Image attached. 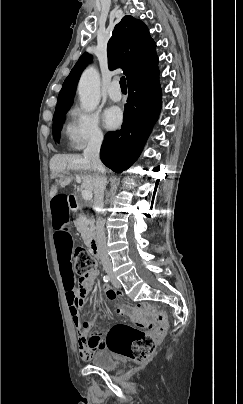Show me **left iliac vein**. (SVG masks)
<instances>
[{
    "instance_id": "1",
    "label": "left iliac vein",
    "mask_w": 243,
    "mask_h": 404,
    "mask_svg": "<svg viewBox=\"0 0 243 404\" xmlns=\"http://www.w3.org/2000/svg\"><path fill=\"white\" fill-rule=\"evenodd\" d=\"M111 282H112V284H113V286L114 287H116V288H121V284H120V282L116 279V277H115V275L114 274H111Z\"/></svg>"
}]
</instances>
